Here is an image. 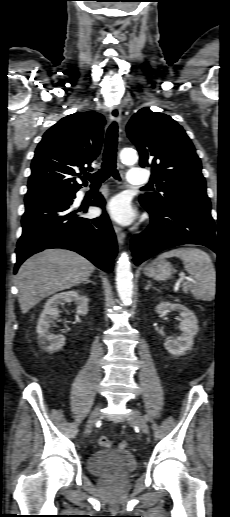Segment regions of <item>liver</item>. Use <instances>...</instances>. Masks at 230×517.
<instances>
[{
    "label": "liver",
    "instance_id": "obj_1",
    "mask_svg": "<svg viewBox=\"0 0 230 517\" xmlns=\"http://www.w3.org/2000/svg\"><path fill=\"white\" fill-rule=\"evenodd\" d=\"M95 266L76 252L48 249L27 259L17 273L18 302L27 313L42 299L86 281Z\"/></svg>",
    "mask_w": 230,
    "mask_h": 517
}]
</instances>
